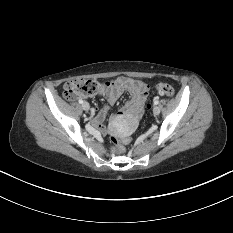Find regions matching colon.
Instances as JSON below:
<instances>
[{"mask_svg":"<svg viewBox=\"0 0 233 233\" xmlns=\"http://www.w3.org/2000/svg\"><path fill=\"white\" fill-rule=\"evenodd\" d=\"M105 85L93 79L76 78L67 81L64 84V97L67 100H74L76 97H90L100 93ZM156 89L160 95L172 97L175 94L174 88L166 83H158ZM112 149L121 153L125 150L126 139H120L116 136L111 137Z\"/></svg>","mask_w":233,"mask_h":233,"instance_id":"5ec220e1","label":"colon"}]
</instances>
